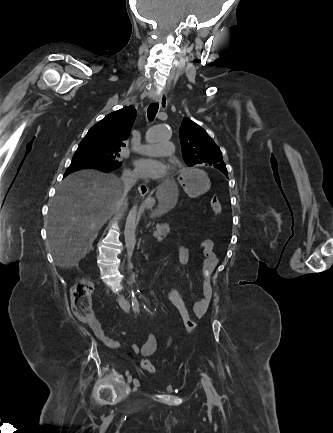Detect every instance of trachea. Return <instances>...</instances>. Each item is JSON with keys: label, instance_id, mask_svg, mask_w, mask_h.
<instances>
[{"label": "trachea", "instance_id": "3493384b", "mask_svg": "<svg viewBox=\"0 0 333 433\" xmlns=\"http://www.w3.org/2000/svg\"><path fill=\"white\" fill-rule=\"evenodd\" d=\"M158 109H159V104L158 103H152V104L149 105V107L147 109V115H148V119L150 121H152L155 118V116H156V114L158 112Z\"/></svg>", "mask_w": 333, "mask_h": 433}]
</instances>
